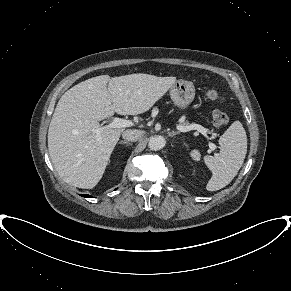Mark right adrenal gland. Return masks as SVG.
Masks as SVG:
<instances>
[{
  "instance_id": "right-adrenal-gland-1",
  "label": "right adrenal gland",
  "mask_w": 291,
  "mask_h": 291,
  "mask_svg": "<svg viewBox=\"0 0 291 291\" xmlns=\"http://www.w3.org/2000/svg\"><path fill=\"white\" fill-rule=\"evenodd\" d=\"M119 143H120V144H125V145H127V146L131 145V143L128 142V141H126V140H124V141H120Z\"/></svg>"
}]
</instances>
